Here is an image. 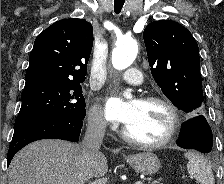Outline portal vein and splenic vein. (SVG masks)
Returning a JSON list of instances; mask_svg holds the SVG:
<instances>
[{"instance_id": "obj_1", "label": "portal vein and splenic vein", "mask_w": 224, "mask_h": 184, "mask_svg": "<svg viewBox=\"0 0 224 184\" xmlns=\"http://www.w3.org/2000/svg\"><path fill=\"white\" fill-rule=\"evenodd\" d=\"M135 184H143L141 181H137L135 182Z\"/></svg>"}]
</instances>
